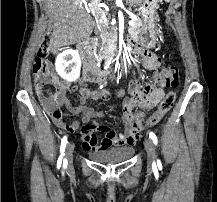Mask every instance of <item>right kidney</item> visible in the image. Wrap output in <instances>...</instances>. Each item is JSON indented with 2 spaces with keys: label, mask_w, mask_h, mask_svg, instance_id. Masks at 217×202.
Wrapping results in <instances>:
<instances>
[{
  "label": "right kidney",
  "mask_w": 217,
  "mask_h": 202,
  "mask_svg": "<svg viewBox=\"0 0 217 202\" xmlns=\"http://www.w3.org/2000/svg\"><path fill=\"white\" fill-rule=\"evenodd\" d=\"M56 72L68 82H76L80 76L81 60L77 50H65L56 58Z\"/></svg>",
  "instance_id": "1"
}]
</instances>
